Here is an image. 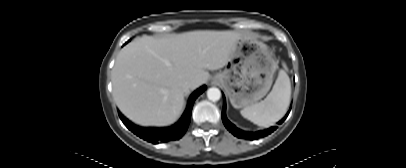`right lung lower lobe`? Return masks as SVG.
I'll return each mask as SVG.
<instances>
[{
    "label": "right lung lower lobe",
    "instance_id": "98d812e1",
    "mask_svg": "<svg viewBox=\"0 0 406 168\" xmlns=\"http://www.w3.org/2000/svg\"><path fill=\"white\" fill-rule=\"evenodd\" d=\"M206 90V87L203 86L195 93L190 98L189 105L187 107V110L183 113L182 117L172 127L169 128H142L139 126H136L132 124L131 122L127 121L121 114H119V117L121 118L122 122L125 124V126L132 131L134 134L139 136L140 138L151 142L153 144H157L159 142H169V141H174V140H179L182 138V136L185 134L189 123L191 119V112L193 108V104L196 100V98L202 94Z\"/></svg>",
    "mask_w": 406,
    "mask_h": 168
}]
</instances>
